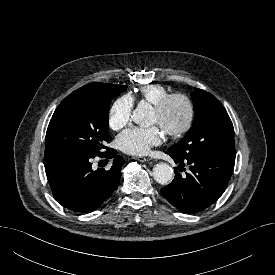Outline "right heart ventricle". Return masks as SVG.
I'll return each mask as SVG.
<instances>
[{"mask_svg":"<svg viewBox=\"0 0 275 275\" xmlns=\"http://www.w3.org/2000/svg\"><path fill=\"white\" fill-rule=\"evenodd\" d=\"M168 94L169 90L165 86L161 84H150L139 89L138 98L155 105Z\"/></svg>","mask_w":275,"mask_h":275,"instance_id":"right-heart-ventricle-1","label":"right heart ventricle"}]
</instances>
